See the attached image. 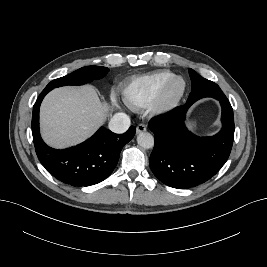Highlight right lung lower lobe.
I'll list each match as a JSON object with an SVG mask.
<instances>
[{
	"label": "right lung lower lobe",
	"instance_id": "obj_1",
	"mask_svg": "<svg viewBox=\"0 0 267 267\" xmlns=\"http://www.w3.org/2000/svg\"><path fill=\"white\" fill-rule=\"evenodd\" d=\"M49 91L44 89L33 106L32 134L39 161L63 183L76 187L100 183L114 170L122 147L134 137L136 128L131 126L124 134H115L101 127L77 146L63 150L50 148L39 132V107Z\"/></svg>",
	"mask_w": 267,
	"mask_h": 267
}]
</instances>
